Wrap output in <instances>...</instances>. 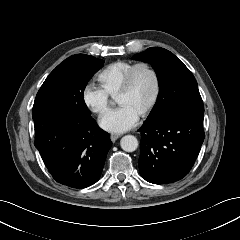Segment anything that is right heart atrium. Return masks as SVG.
<instances>
[{
	"label": "right heart atrium",
	"instance_id": "1",
	"mask_svg": "<svg viewBox=\"0 0 240 240\" xmlns=\"http://www.w3.org/2000/svg\"><path fill=\"white\" fill-rule=\"evenodd\" d=\"M83 101L97 115H103L110 106L109 95L101 87H96L92 84L85 87Z\"/></svg>",
	"mask_w": 240,
	"mask_h": 240
}]
</instances>
